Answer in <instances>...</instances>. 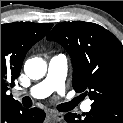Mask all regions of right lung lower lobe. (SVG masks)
<instances>
[{"label":"right lung lower lobe","instance_id":"right-lung-lower-lobe-1","mask_svg":"<svg viewBox=\"0 0 123 123\" xmlns=\"http://www.w3.org/2000/svg\"><path fill=\"white\" fill-rule=\"evenodd\" d=\"M45 112L39 108L25 109L20 103L1 105V123H42Z\"/></svg>","mask_w":123,"mask_h":123}]
</instances>
